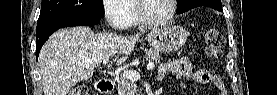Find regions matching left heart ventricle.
Returning a JSON list of instances; mask_svg holds the SVG:
<instances>
[{"instance_id": "b2bd125f", "label": "left heart ventricle", "mask_w": 277, "mask_h": 95, "mask_svg": "<svg viewBox=\"0 0 277 95\" xmlns=\"http://www.w3.org/2000/svg\"><path fill=\"white\" fill-rule=\"evenodd\" d=\"M142 13L149 19H164L170 13L168 0H145L142 5Z\"/></svg>"}]
</instances>
